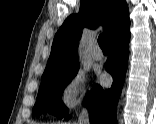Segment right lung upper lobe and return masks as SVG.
<instances>
[{"label":"right lung upper lobe","mask_w":156,"mask_h":124,"mask_svg":"<svg viewBox=\"0 0 156 124\" xmlns=\"http://www.w3.org/2000/svg\"><path fill=\"white\" fill-rule=\"evenodd\" d=\"M99 25H103L109 42L127 31L130 21L126 1L80 0L79 14L70 15L54 37L42 78L79 66L76 49L82 28L95 29Z\"/></svg>","instance_id":"cb5924a9"}]
</instances>
